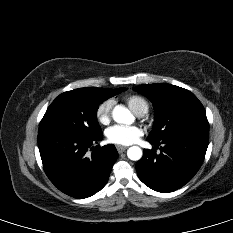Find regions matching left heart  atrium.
Instances as JSON below:
<instances>
[{
  "label": "left heart atrium",
  "mask_w": 233,
  "mask_h": 233,
  "mask_svg": "<svg viewBox=\"0 0 233 233\" xmlns=\"http://www.w3.org/2000/svg\"><path fill=\"white\" fill-rule=\"evenodd\" d=\"M106 134L111 143L130 145L138 141L143 131L137 126L115 125L110 127Z\"/></svg>",
  "instance_id": "1"
}]
</instances>
